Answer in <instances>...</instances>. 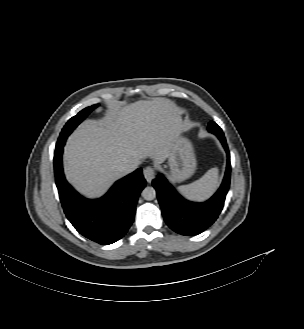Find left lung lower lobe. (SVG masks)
<instances>
[{"label":"left lung lower lobe","instance_id":"0a47b994","mask_svg":"<svg viewBox=\"0 0 304 329\" xmlns=\"http://www.w3.org/2000/svg\"><path fill=\"white\" fill-rule=\"evenodd\" d=\"M208 131L219 138L227 153V167L223 182L208 201L193 203L185 200L162 174L152 181L165 222L172 230L186 236L197 235L215 222L223 209L229 190L231 164L224 133L215 122L212 126H208Z\"/></svg>","mask_w":304,"mask_h":329}]
</instances>
